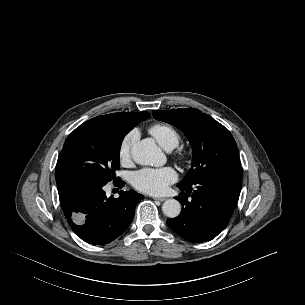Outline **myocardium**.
Returning a JSON list of instances; mask_svg holds the SVG:
<instances>
[{"label": "myocardium", "instance_id": "1", "mask_svg": "<svg viewBox=\"0 0 305 305\" xmlns=\"http://www.w3.org/2000/svg\"><path fill=\"white\" fill-rule=\"evenodd\" d=\"M177 156H178V159L181 160V161H184V160L187 159V153L185 151H182V150H180L177 153Z\"/></svg>", "mask_w": 305, "mask_h": 305}]
</instances>
